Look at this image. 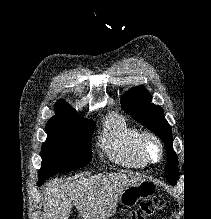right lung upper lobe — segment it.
I'll return each mask as SVG.
<instances>
[{
	"label": "right lung upper lobe",
	"instance_id": "right-lung-upper-lobe-1",
	"mask_svg": "<svg viewBox=\"0 0 211 219\" xmlns=\"http://www.w3.org/2000/svg\"><path fill=\"white\" fill-rule=\"evenodd\" d=\"M55 112L56 115L51 119L81 117L77 112L71 109V106L68 103L64 101H59L55 104Z\"/></svg>",
	"mask_w": 211,
	"mask_h": 219
}]
</instances>
